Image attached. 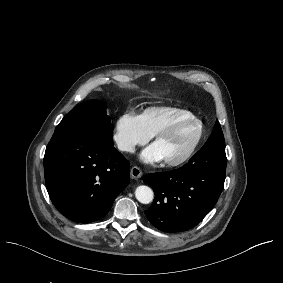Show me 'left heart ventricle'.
I'll list each match as a JSON object with an SVG mask.
<instances>
[{
	"label": "left heart ventricle",
	"mask_w": 283,
	"mask_h": 283,
	"mask_svg": "<svg viewBox=\"0 0 283 283\" xmlns=\"http://www.w3.org/2000/svg\"><path fill=\"white\" fill-rule=\"evenodd\" d=\"M196 130V123L187 122L180 126L172 137L158 141L164 155V160H176L180 158L190 147Z\"/></svg>",
	"instance_id": "1"
}]
</instances>
